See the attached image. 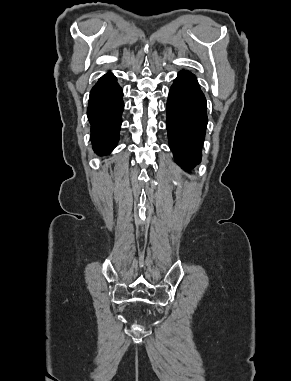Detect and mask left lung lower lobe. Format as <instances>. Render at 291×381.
Here are the masks:
<instances>
[{
	"mask_svg": "<svg viewBox=\"0 0 291 381\" xmlns=\"http://www.w3.org/2000/svg\"><path fill=\"white\" fill-rule=\"evenodd\" d=\"M166 111L169 146L175 161L189 171L201 161L208 122L205 96L189 71L178 73L169 92Z\"/></svg>",
	"mask_w": 291,
	"mask_h": 381,
	"instance_id": "obj_1",
	"label": "left lung lower lobe"
}]
</instances>
